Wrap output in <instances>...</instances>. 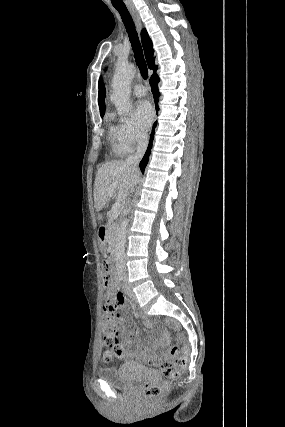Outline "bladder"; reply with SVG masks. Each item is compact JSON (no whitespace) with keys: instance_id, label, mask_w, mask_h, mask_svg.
Here are the masks:
<instances>
[{"instance_id":"obj_1","label":"bladder","mask_w":285,"mask_h":427,"mask_svg":"<svg viewBox=\"0 0 285 427\" xmlns=\"http://www.w3.org/2000/svg\"><path fill=\"white\" fill-rule=\"evenodd\" d=\"M97 375L103 382L112 387L130 389L142 379L149 376V370L136 364H123L118 367H104L98 370Z\"/></svg>"}]
</instances>
